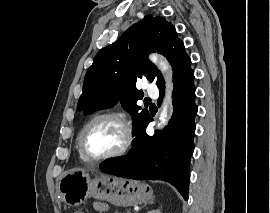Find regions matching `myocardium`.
<instances>
[{"label": "myocardium", "instance_id": "f54148a6", "mask_svg": "<svg viewBox=\"0 0 270 213\" xmlns=\"http://www.w3.org/2000/svg\"><path fill=\"white\" fill-rule=\"evenodd\" d=\"M101 119H114V120L120 122L123 125L124 130H125V140H124L123 145L115 152H112L110 154H107V155L101 156V157H94V156L90 155L86 150L85 135H86V132L88 131V129L90 128V126L92 124H94L96 121L101 120ZM132 140H133L132 126H131V123L129 122V120L124 115H122L121 113H118V112H102V113H98V114L94 115L83 126V128L79 134V148H80L81 154L83 155V157L87 161L93 162V163H100L103 161L112 160V159L119 158V157L123 156L129 150V148L132 144Z\"/></svg>", "mask_w": 270, "mask_h": 213}]
</instances>
